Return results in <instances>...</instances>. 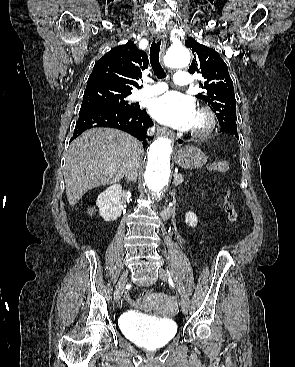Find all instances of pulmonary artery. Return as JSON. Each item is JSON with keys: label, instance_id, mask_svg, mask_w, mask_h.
<instances>
[{"label": "pulmonary artery", "instance_id": "e3ab8cb5", "mask_svg": "<svg viewBox=\"0 0 295 367\" xmlns=\"http://www.w3.org/2000/svg\"><path fill=\"white\" fill-rule=\"evenodd\" d=\"M174 82L179 86L191 84V76L187 71H178L174 76ZM168 89L164 82L147 85L133 95L134 100H144L162 94Z\"/></svg>", "mask_w": 295, "mask_h": 367}]
</instances>
